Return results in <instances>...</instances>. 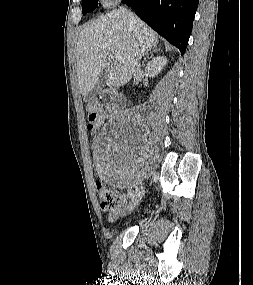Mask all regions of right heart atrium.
Returning <instances> with one entry per match:
<instances>
[{"instance_id":"1","label":"right heart atrium","mask_w":253,"mask_h":285,"mask_svg":"<svg viewBox=\"0 0 253 285\" xmlns=\"http://www.w3.org/2000/svg\"><path fill=\"white\" fill-rule=\"evenodd\" d=\"M102 1L107 5H112V4L116 3L118 0H102Z\"/></svg>"}]
</instances>
